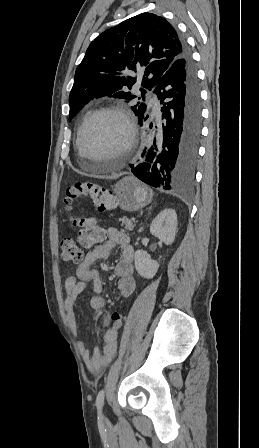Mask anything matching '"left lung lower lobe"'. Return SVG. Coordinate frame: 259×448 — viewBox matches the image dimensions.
Listing matches in <instances>:
<instances>
[{
	"label": "left lung lower lobe",
	"instance_id": "0a47b994",
	"mask_svg": "<svg viewBox=\"0 0 259 448\" xmlns=\"http://www.w3.org/2000/svg\"><path fill=\"white\" fill-rule=\"evenodd\" d=\"M182 56L161 76L154 88L162 119L153 145L143 150V161L130 165L132 173L153 187L174 192L192 186L201 135V99L196 68L184 40ZM148 114L139 118V124ZM152 127V124H151ZM154 128H158L154 126Z\"/></svg>",
	"mask_w": 259,
	"mask_h": 448
}]
</instances>
